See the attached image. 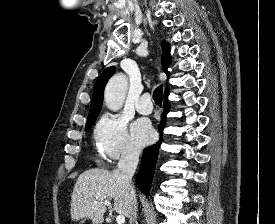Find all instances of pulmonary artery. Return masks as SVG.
Wrapping results in <instances>:
<instances>
[{
    "label": "pulmonary artery",
    "instance_id": "e3ab8cb5",
    "mask_svg": "<svg viewBox=\"0 0 275 224\" xmlns=\"http://www.w3.org/2000/svg\"><path fill=\"white\" fill-rule=\"evenodd\" d=\"M136 109L141 114H150L152 112L153 105L149 94H144L139 98Z\"/></svg>",
    "mask_w": 275,
    "mask_h": 224
}]
</instances>
